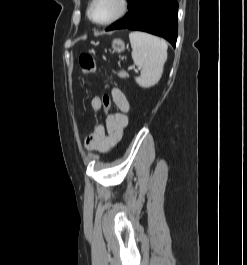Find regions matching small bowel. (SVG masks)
Returning <instances> with one entry per match:
<instances>
[{
    "instance_id": "obj_1",
    "label": "small bowel",
    "mask_w": 247,
    "mask_h": 265,
    "mask_svg": "<svg viewBox=\"0 0 247 265\" xmlns=\"http://www.w3.org/2000/svg\"><path fill=\"white\" fill-rule=\"evenodd\" d=\"M111 96L117 111L109 115L106 125L98 124L95 130L85 140V147L90 151L105 153L109 151L121 138L128 125L130 105L124 93L111 89ZM103 98L95 96L90 101V109L97 112L103 108Z\"/></svg>"
}]
</instances>
